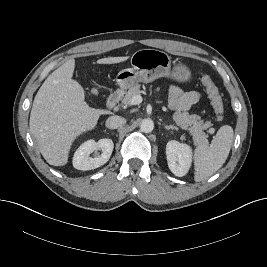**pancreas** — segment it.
Segmentation results:
<instances>
[{"mask_svg":"<svg viewBox=\"0 0 267 267\" xmlns=\"http://www.w3.org/2000/svg\"><path fill=\"white\" fill-rule=\"evenodd\" d=\"M140 85L136 84L128 90L122 99V104L124 106L131 105L132 98L136 95H140ZM173 120L176 124L183 128L189 130L193 137V141L196 144L207 143L208 135L205 134L203 130H206L212 126L211 122L206 121L205 123L201 120V117L196 114L190 115L188 112L176 111L173 116Z\"/></svg>","mask_w":267,"mask_h":267,"instance_id":"pancreas-1","label":"pancreas"}]
</instances>
